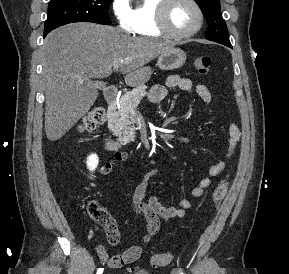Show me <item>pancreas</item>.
<instances>
[{"mask_svg":"<svg viewBox=\"0 0 289 274\" xmlns=\"http://www.w3.org/2000/svg\"><path fill=\"white\" fill-rule=\"evenodd\" d=\"M147 94L146 87H138L127 92L120 98L118 110L108 120V127L121 142L135 140L136 109L142 98Z\"/></svg>","mask_w":289,"mask_h":274,"instance_id":"cf45deb5","label":"pancreas"}]
</instances>
